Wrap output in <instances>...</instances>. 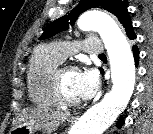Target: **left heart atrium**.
<instances>
[{
    "label": "left heart atrium",
    "mask_w": 153,
    "mask_h": 134,
    "mask_svg": "<svg viewBox=\"0 0 153 134\" xmlns=\"http://www.w3.org/2000/svg\"><path fill=\"white\" fill-rule=\"evenodd\" d=\"M98 86V80L95 73L91 70L79 72L78 75V91L80 98L83 100L91 98Z\"/></svg>",
    "instance_id": "39dd6f15"
}]
</instances>
